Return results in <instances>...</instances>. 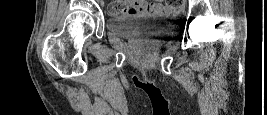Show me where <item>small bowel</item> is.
<instances>
[{
	"mask_svg": "<svg viewBox=\"0 0 267 115\" xmlns=\"http://www.w3.org/2000/svg\"><path fill=\"white\" fill-rule=\"evenodd\" d=\"M130 13H159L166 14L169 11V7L162 0L157 2L136 1L130 5Z\"/></svg>",
	"mask_w": 267,
	"mask_h": 115,
	"instance_id": "small-bowel-1",
	"label": "small bowel"
}]
</instances>
